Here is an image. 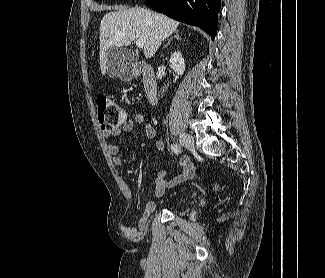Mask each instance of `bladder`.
Here are the masks:
<instances>
[{
	"label": "bladder",
	"mask_w": 325,
	"mask_h": 278,
	"mask_svg": "<svg viewBox=\"0 0 325 278\" xmlns=\"http://www.w3.org/2000/svg\"><path fill=\"white\" fill-rule=\"evenodd\" d=\"M187 200V196L186 195H178L174 198V200L172 201V204L175 206H180L182 204H184Z\"/></svg>",
	"instance_id": "bladder-1"
}]
</instances>
